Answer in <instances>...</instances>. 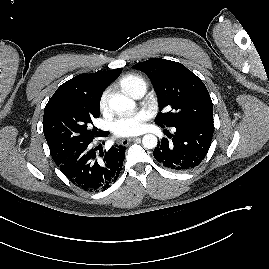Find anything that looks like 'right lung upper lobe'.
<instances>
[{"label": "right lung upper lobe", "instance_id": "cb5924a9", "mask_svg": "<svg viewBox=\"0 0 269 269\" xmlns=\"http://www.w3.org/2000/svg\"><path fill=\"white\" fill-rule=\"evenodd\" d=\"M121 68L80 74L63 83L53 94L46 108L54 105H97L106 87L115 80Z\"/></svg>", "mask_w": 269, "mask_h": 269}]
</instances>
